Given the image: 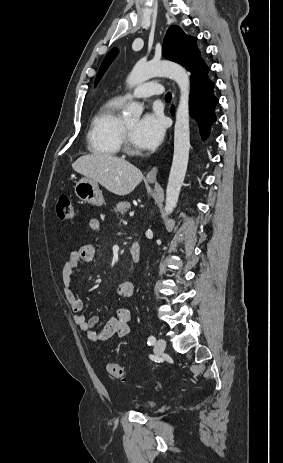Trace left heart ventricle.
<instances>
[{
  "label": "left heart ventricle",
  "instance_id": "b2bd125f",
  "mask_svg": "<svg viewBox=\"0 0 283 463\" xmlns=\"http://www.w3.org/2000/svg\"><path fill=\"white\" fill-rule=\"evenodd\" d=\"M125 124H126L128 130H129V133H130L132 145L134 146V148L139 149V147L137 146V144L134 141V136H133L134 128H135V126L137 124V121L136 120L126 121Z\"/></svg>",
  "mask_w": 283,
  "mask_h": 463
}]
</instances>
